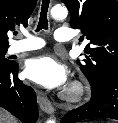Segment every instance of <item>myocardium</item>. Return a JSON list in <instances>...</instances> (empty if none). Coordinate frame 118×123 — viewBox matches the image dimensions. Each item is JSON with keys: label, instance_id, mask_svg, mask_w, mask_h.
<instances>
[{"label": "myocardium", "instance_id": "myocardium-1", "mask_svg": "<svg viewBox=\"0 0 118 123\" xmlns=\"http://www.w3.org/2000/svg\"><path fill=\"white\" fill-rule=\"evenodd\" d=\"M87 93V86L82 81L73 82L62 94L64 100L68 102H78Z\"/></svg>", "mask_w": 118, "mask_h": 123}]
</instances>
